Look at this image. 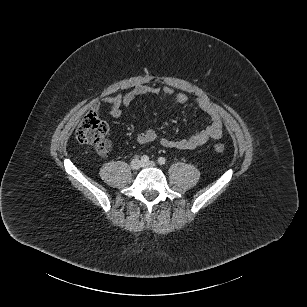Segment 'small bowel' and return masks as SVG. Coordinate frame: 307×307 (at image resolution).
Segmentation results:
<instances>
[{
  "instance_id": "1",
  "label": "small bowel",
  "mask_w": 307,
  "mask_h": 307,
  "mask_svg": "<svg viewBox=\"0 0 307 307\" xmlns=\"http://www.w3.org/2000/svg\"><path fill=\"white\" fill-rule=\"evenodd\" d=\"M160 92L166 96H173L175 101L181 105L186 104L189 100L185 93L175 94L174 90L170 87L160 89L147 85H139L125 94H118L104 98L100 103H97L94 106V111L98 110L100 105H107L110 107V115L114 118H119L122 115L123 108L130 107L137 97L156 95ZM195 104L209 117L210 123L204 129L185 139L171 140L168 138H161L159 142L163 147L178 150H193L206 144L208 141H216L222 137V118L214 105L202 98L196 99ZM136 139L138 143L146 144L156 139V133L154 130L147 128L138 133Z\"/></svg>"
}]
</instances>
